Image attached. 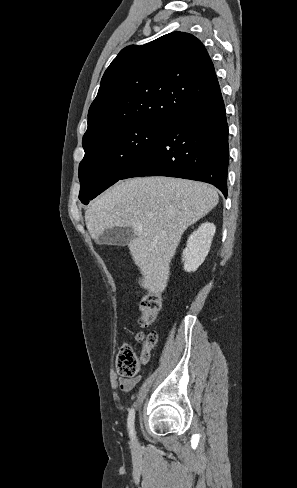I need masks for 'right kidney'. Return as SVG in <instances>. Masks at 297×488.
Instances as JSON below:
<instances>
[{"mask_svg": "<svg viewBox=\"0 0 297 488\" xmlns=\"http://www.w3.org/2000/svg\"><path fill=\"white\" fill-rule=\"evenodd\" d=\"M216 227L213 223H204L194 231L187 240V246L182 253L184 270L195 271L207 256Z\"/></svg>", "mask_w": 297, "mask_h": 488, "instance_id": "obj_1", "label": "right kidney"}]
</instances>
